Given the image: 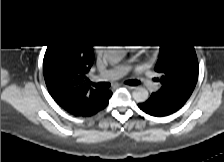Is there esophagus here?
I'll list each match as a JSON object with an SVG mask.
<instances>
[{"mask_svg": "<svg viewBox=\"0 0 224 162\" xmlns=\"http://www.w3.org/2000/svg\"><path fill=\"white\" fill-rule=\"evenodd\" d=\"M124 87L128 88V89H134L133 86H129V85H124Z\"/></svg>", "mask_w": 224, "mask_h": 162, "instance_id": "esophagus-1", "label": "esophagus"}]
</instances>
